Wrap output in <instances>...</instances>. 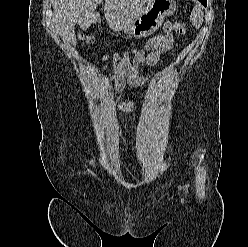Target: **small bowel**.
Instances as JSON below:
<instances>
[{"instance_id": "c3829d8e", "label": "small bowel", "mask_w": 248, "mask_h": 247, "mask_svg": "<svg viewBox=\"0 0 248 247\" xmlns=\"http://www.w3.org/2000/svg\"><path fill=\"white\" fill-rule=\"evenodd\" d=\"M173 47V40L170 35H159L146 42L143 48L126 51L122 55L113 56V76L110 82L113 86L114 95H119L124 88L129 86H142L146 84L150 76L138 75V65L145 62L155 65L160 57L169 52ZM134 56V61H130V56ZM104 66L103 69H106ZM115 106L122 112H131L139 108L138 102L115 101Z\"/></svg>"}]
</instances>
